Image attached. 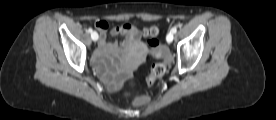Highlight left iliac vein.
<instances>
[{
  "label": "left iliac vein",
  "instance_id": "obj_1",
  "mask_svg": "<svg viewBox=\"0 0 276 120\" xmlns=\"http://www.w3.org/2000/svg\"><path fill=\"white\" fill-rule=\"evenodd\" d=\"M173 38H174V35L173 33H168L167 36H166V40L168 43H171L173 41Z\"/></svg>",
  "mask_w": 276,
  "mask_h": 120
}]
</instances>
